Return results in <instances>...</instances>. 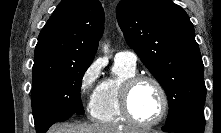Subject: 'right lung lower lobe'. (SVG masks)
Masks as SVG:
<instances>
[{
  "mask_svg": "<svg viewBox=\"0 0 221 133\" xmlns=\"http://www.w3.org/2000/svg\"><path fill=\"white\" fill-rule=\"evenodd\" d=\"M55 120H47L42 122L40 125H35L37 133H45L51 125L56 123Z\"/></svg>",
  "mask_w": 221,
  "mask_h": 133,
  "instance_id": "obj_1",
  "label": "right lung lower lobe"
}]
</instances>
